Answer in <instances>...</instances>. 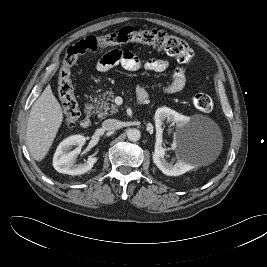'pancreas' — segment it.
I'll return each instance as SVG.
<instances>
[{"label": "pancreas", "mask_w": 267, "mask_h": 267, "mask_svg": "<svg viewBox=\"0 0 267 267\" xmlns=\"http://www.w3.org/2000/svg\"><path fill=\"white\" fill-rule=\"evenodd\" d=\"M113 98V91H106L102 96H99V98H94V112L98 114V117H107L118 112L116 105L109 103V101H113Z\"/></svg>", "instance_id": "1"}]
</instances>
